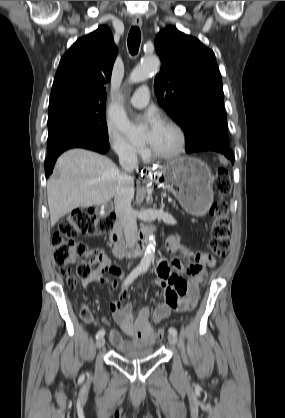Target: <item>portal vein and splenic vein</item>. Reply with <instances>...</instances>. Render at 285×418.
<instances>
[{
	"label": "portal vein and splenic vein",
	"mask_w": 285,
	"mask_h": 418,
	"mask_svg": "<svg viewBox=\"0 0 285 418\" xmlns=\"http://www.w3.org/2000/svg\"><path fill=\"white\" fill-rule=\"evenodd\" d=\"M168 201H169V202H172V199H171V198H168Z\"/></svg>",
	"instance_id": "18ae733b"
}]
</instances>
